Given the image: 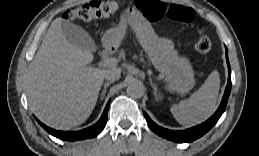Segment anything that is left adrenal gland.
Wrapping results in <instances>:
<instances>
[{
  "mask_svg": "<svg viewBox=\"0 0 259 156\" xmlns=\"http://www.w3.org/2000/svg\"><path fill=\"white\" fill-rule=\"evenodd\" d=\"M150 85L152 86V88H153V91H154V96H155V98H156V100H158L159 99V94H158V91H157V87H156V85L152 82V80L150 79Z\"/></svg>",
  "mask_w": 259,
  "mask_h": 156,
  "instance_id": "left-adrenal-gland-1",
  "label": "left adrenal gland"
}]
</instances>
